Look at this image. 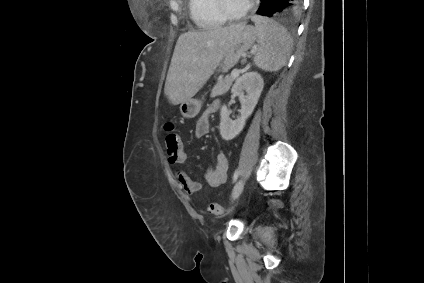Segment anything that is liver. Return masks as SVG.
I'll use <instances>...</instances> for the list:
<instances>
[{
    "instance_id": "6515ba94",
    "label": "liver",
    "mask_w": 424,
    "mask_h": 283,
    "mask_svg": "<svg viewBox=\"0 0 424 283\" xmlns=\"http://www.w3.org/2000/svg\"><path fill=\"white\" fill-rule=\"evenodd\" d=\"M245 26V23H238L188 31L179 36L164 88L173 105L192 98L202 88Z\"/></svg>"
}]
</instances>
